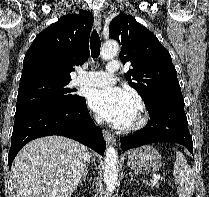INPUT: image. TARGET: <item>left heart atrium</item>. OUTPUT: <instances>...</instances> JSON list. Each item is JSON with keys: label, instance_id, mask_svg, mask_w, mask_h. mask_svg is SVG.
<instances>
[{"label": "left heart atrium", "instance_id": "obj_1", "mask_svg": "<svg viewBox=\"0 0 209 197\" xmlns=\"http://www.w3.org/2000/svg\"><path fill=\"white\" fill-rule=\"evenodd\" d=\"M89 106L107 122L128 127L136 119L138 102L133 94L119 87H106L92 92Z\"/></svg>", "mask_w": 209, "mask_h": 197}]
</instances>
